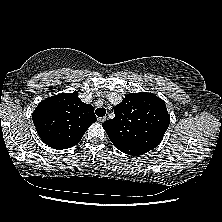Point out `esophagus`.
I'll return each mask as SVG.
<instances>
[{
  "label": "esophagus",
  "instance_id": "34e87169",
  "mask_svg": "<svg viewBox=\"0 0 222 222\" xmlns=\"http://www.w3.org/2000/svg\"><path fill=\"white\" fill-rule=\"evenodd\" d=\"M98 122L103 123L106 120V117H99Z\"/></svg>",
  "mask_w": 222,
  "mask_h": 222
}]
</instances>
